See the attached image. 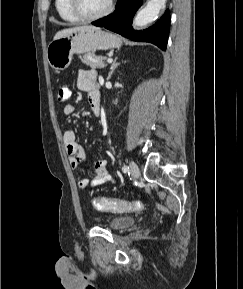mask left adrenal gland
I'll use <instances>...</instances> for the list:
<instances>
[{
  "label": "left adrenal gland",
  "instance_id": "1",
  "mask_svg": "<svg viewBox=\"0 0 243 289\" xmlns=\"http://www.w3.org/2000/svg\"><path fill=\"white\" fill-rule=\"evenodd\" d=\"M116 60H117V57L114 59L112 65H111V67H110V72H109V74H108V79L111 78L113 72L115 71V69H116V68L118 67V65H119V63H117Z\"/></svg>",
  "mask_w": 243,
  "mask_h": 289
}]
</instances>
